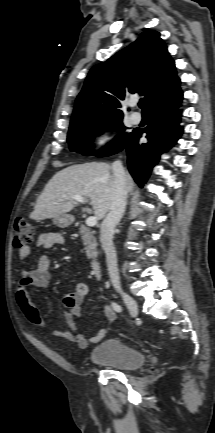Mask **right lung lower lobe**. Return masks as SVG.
Instances as JSON below:
<instances>
[{
  "instance_id": "obj_1",
  "label": "right lung lower lobe",
  "mask_w": 215,
  "mask_h": 433,
  "mask_svg": "<svg viewBox=\"0 0 215 433\" xmlns=\"http://www.w3.org/2000/svg\"><path fill=\"white\" fill-rule=\"evenodd\" d=\"M182 92L179 84L152 101L148 107L151 122L143 131L135 129L124 144L127 152L128 169L135 182L143 187L150 172L163 152H166L182 134L180 121V101ZM147 133V143L140 144L141 134ZM120 150V151H121Z\"/></svg>"
}]
</instances>
